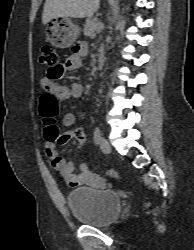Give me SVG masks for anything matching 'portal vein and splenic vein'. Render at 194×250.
<instances>
[{"instance_id": "18ae733b", "label": "portal vein and splenic vein", "mask_w": 194, "mask_h": 250, "mask_svg": "<svg viewBox=\"0 0 194 250\" xmlns=\"http://www.w3.org/2000/svg\"><path fill=\"white\" fill-rule=\"evenodd\" d=\"M100 27L103 28V24L102 23H100Z\"/></svg>"}]
</instances>
